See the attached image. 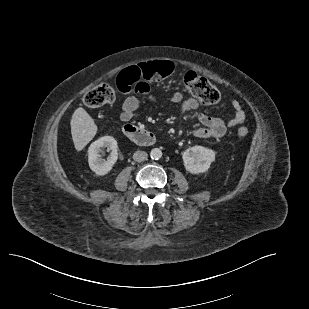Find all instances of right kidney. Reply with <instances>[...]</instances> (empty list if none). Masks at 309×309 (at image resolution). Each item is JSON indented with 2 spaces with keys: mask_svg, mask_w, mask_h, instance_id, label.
Returning <instances> with one entry per match:
<instances>
[{
  "mask_svg": "<svg viewBox=\"0 0 309 309\" xmlns=\"http://www.w3.org/2000/svg\"><path fill=\"white\" fill-rule=\"evenodd\" d=\"M103 147L111 151L106 161L100 158V152ZM117 141L111 136H104L94 141L88 149V163L90 169L98 176L108 174L118 158Z\"/></svg>",
  "mask_w": 309,
  "mask_h": 309,
  "instance_id": "right-kidney-1",
  "label": "right kidney"
}]
</instances>
